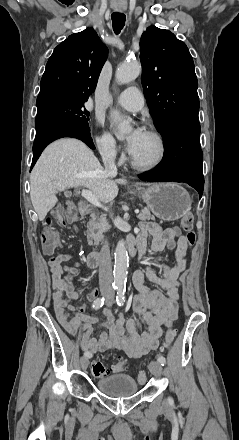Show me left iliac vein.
Returning a JSON list of instances; mask_svg holds the SVG:
<instances>
[{
	"label": "left iliac vein",
	"instance_id": "left-iliac-vein-1",
	"mask_svg": "<svg viewBox=\"0 0 239 440\" xmlns=\"http://www.w3.org/2000/svg\"><path fill=\"white\" fill-rule=\"evenodd\" d=\"M108 304L110 305L111 302L109 301ZM150 372L156 376V377H160L162 375V366L159 362L157 361H152L149 366H148Z\"/></svg>",
	"mask_w": 239,
	"mask_h": 440
}]
</instances>
